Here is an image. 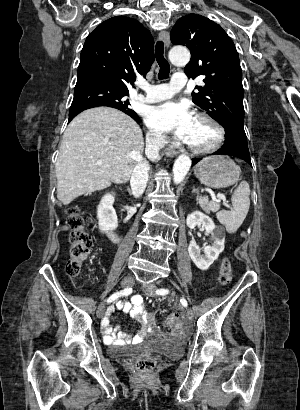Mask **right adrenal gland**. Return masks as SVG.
Returning a JSON list of instances; mask_svg holds the SVG:
<instances>
[{
	"label": "right adrenal gland",
	"instance_id": "obj_1",
	"mask_svg": "<svg viewBox=\"0 0 300 410\" xmlns=\"http://www.w3.org/2000/svg\"><path fill=\"white\" fill-rule=\"evenodd\" d=\"M127 191H128V193H129V195H132V192H131V190H130L129 187L127 188Z\"/></svg>",
	"mask_w": 300,
	"mask_h": 410
}]
</instances>
